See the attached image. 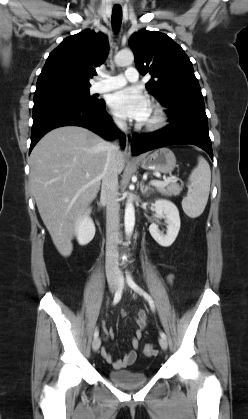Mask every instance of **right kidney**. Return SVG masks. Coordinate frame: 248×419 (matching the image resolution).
Instances as JSON below:
<instances>
[{
  "label": "right kidney",
  "instance_id": "right-kidney-1",
  "mask_svg": "<svg viewBox=\"0 0 248 419\" xmlns=\"http://www.w3.org/2000/svg\"><path fill=\"white\" fill-rule=\"evenodd\" d=\"M91 208H87L79 215L75 224V234L80 245L88 244L95 235V225L90 218Z\"/></svg>",
  "mask_w": 248,
  "mask_h": 419
}]
</instances>
